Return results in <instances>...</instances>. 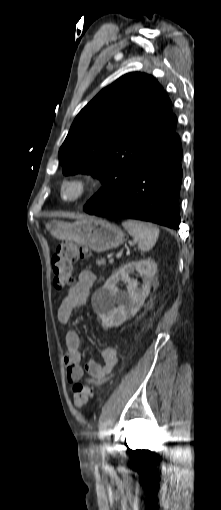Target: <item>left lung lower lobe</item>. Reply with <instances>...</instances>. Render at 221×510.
Wrapping results in <instances>:
<instances>
[{"instance_id": "1", "label": "left lung lower lobe", "mask_w": 221, "mask_h": 510, "mask_svg": "<svg viewBox=\"0 0 221 510\" xmlns=\"http://www.w3.org/2000/svg\"><path fill=\"white\" fill-rule=\"evenodd\" d=\"M180 138L152 152L124 189L107 205L84 211L102 217L139 219L178 229L182 180Z\"/></svg>"}]
</instances>
